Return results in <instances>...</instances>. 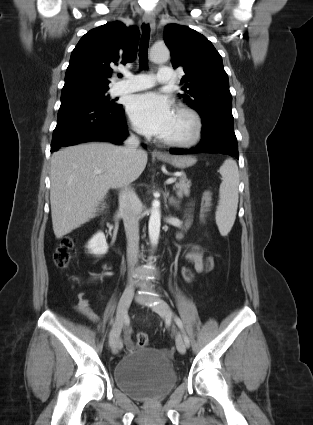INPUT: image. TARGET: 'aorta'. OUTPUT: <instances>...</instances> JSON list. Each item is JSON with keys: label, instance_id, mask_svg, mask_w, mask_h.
Here are the masks:
<instances>
[{"label": "aorta", "instance_id": "obj_1", "mask_svg": "<svg viewBox=\"0 0 313 425\" xmlns=\"http://www.w3.org/2000/svg\"><path fill=\"white\" fill-rule=\"evenodd\" d=\"M150 58L153 62H166L170 58L169 49L166 46H153L150 51ZM160 226V203L155 201L151 208V215L148 224L149 238L152 245H156L158 243Z\"/></svg>", "mask_w": 313, "mask_h": 425}]
</instances>
